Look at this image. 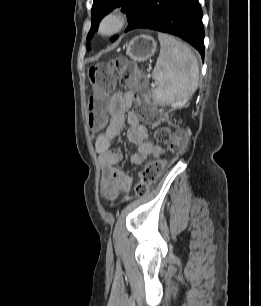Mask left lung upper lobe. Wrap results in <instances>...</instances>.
<instances>
[{
  "instance_id": "1",
  "label": "left lung upper lobe",
  "mask_w": 261,
  "mask_h": 306,
  "mask_svg": "<svg viewBox=\"0 0 261 306\" xmlns=\"http://www.w3.org/2000/svg\"><path fill=\"white\" fill-rule=\"evenodd\" d=\"M144 1L145 0H94L91 10L92 26L87 39H90L91 35L97 30L98 24L103 16L113 9L121 7V10L127 13L129 21L131 22L140 10ZM115 39L116 36L112 38V41ZM87 48H89L88 45Z\"/></svg>"
}]
</instances>
